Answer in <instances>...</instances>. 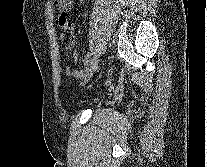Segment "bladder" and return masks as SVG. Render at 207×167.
<instances>
[{"label":"bladder","instance_id":"obj_1","mask_svg":"<svg viewBox=\"0 0 207 167\" xmlns=\"http://www.w3.org/2000/svg\"><path fill=\"white\" fill-rule=\"evenodd\" d=\"M98 100H99V97H98V96H92V97L87 98V99L83 102V104H84V105H91V104L96 103Z\"/></svg>","mask_w":207,"mask_h":167}]
</instances>
